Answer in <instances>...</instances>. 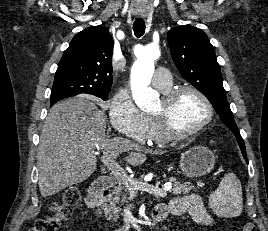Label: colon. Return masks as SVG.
Returning a JSON list of instances; mask_svg holds the SVG:
<instances>
[{
	"mask_svg": "<svg viewBox=\"0 0 268 231\" xmlns=\"http://www.w3.org/2000/svg\"><path fill=\"white\" fill-rule=\"evenodd\" d=\"M79 198L80 194L77 188L67 189L62 200L52 206L51 214L39 218L31 231H57L61 222L70 216L72 207L78 202ZM243 231H256V226L253 222H247Z\"/></svg>",
	"mask_w": 268,
	"mask_h": 231,
	"instance_id": "1",
	"label": "colon"
}]
</instances>
